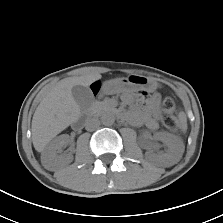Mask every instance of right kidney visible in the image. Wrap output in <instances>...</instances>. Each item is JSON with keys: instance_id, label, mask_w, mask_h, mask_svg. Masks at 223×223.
Masks as SVG:
<instances>
[{"instance_id": "ca27d5eb", "label": "right kidney", "mask_w": 223, "mask_h": 223, "mask_svg": "<svg viewBox=\"0 0 223 223\" xmlns=\"http://www.w3.org/2000/svg\"><path fill=\"white\" fill-rule=\"evenodd\" d=\"M69 142L68 135H60L45 148L41 155V161L45 168L53 169L58 165H67L73 161L71 155L62 156L59 155L61 149Z\"/></svg>"}]
</instances>
